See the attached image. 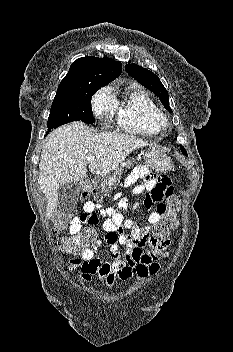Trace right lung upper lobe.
I'll list each match as a JSON object with an SVG mask.
<instances>
[{
  "mask_svg": "<svg viewBox=\"0 0 233 352\" xmlns=\"http://www.w3.org/2000/svg\"><path fill=\"white\" fill-rule=\"evenodd\" d=\"M122 71L120 62L111 58L86 56L77 59L61 81L57 93H70L88 85L104 86L115 80Z\"/></svg>",
  "mask_w": 233,
  "mask_h": 352,
  "instance_id": "right-lung-upper-lobe-1",
  "label": "right lung upper lobe"
}]
</instances>
